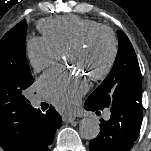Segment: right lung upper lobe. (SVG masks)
Returning <instances> with one entry per match:
<instances>
[{
    "label": "right lung upper lobe",
    "instance_id": "1",
    "mask_svg": "<svg viewBox=\"0 0 151 151\" xmlns=\"http://www.w3.org/2000/svg\"><path fill=\"white\" fill-rule=\"evenodd\" d=\"M37 113L28 100L0 98V144L5 151H34Z\"/></svg>",
    "mask_w": 151,
    "mask_h": 151
}]
</instances>
